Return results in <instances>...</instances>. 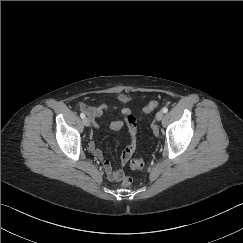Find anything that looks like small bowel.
<instances>
[{
	"mask_svg": "<svg viewBox=\"0 0 243 243\" xmlns=\"http://www.w3.org/2000/svg\"><path fill=\"white\" fill-rule=\"evenodd\" d=\"M79 109L84 111L89 118L92 120L93 124V132L90 135L89 143H88V150L92 156L96 159L102 161V166L105 171L107 178L110 181H119L121 177V170L116 169L113 163L109 160L104 159V155L102 151L97 147L95 135L99 130V125L97 123L98 118L107 112H115L117 108L114 105L110 104H100L94 108L89 107L85 103L79 104ZM122 120L113 121L110 124V129L113 131H121L124 128H127L128 135H129V144L124 149L119 164L120 166H124L127 161L131 158L133 153L136 150L137 146V123L136 119L131 113V111L127 108L121 109Z\"/></svg>",
	"mask_w": 243,
	"mask_h": 243,
	"instance_id": "1",
	"label": "small bowel"
}]
</instances>
